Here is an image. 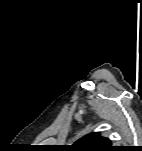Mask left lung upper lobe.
Here are the masks:
<instances>
[{
	"mask_svg": "<svg viewBox=\"0 0 142 151\" xmlns=\"http://www.w3.org/2000/svg\"><path fill=\"white\" fill-rule=\"evenodd\" d=\"M70 149L72 151H116L118 148L112 146L108 138L101 137L99 132H93L80 138Z\"/></svg>",
	"mask_w": 142,
	"mask_h": 151,
	"instance_id": "1",
	"label": "left lung upper lobe"
}]
</instances>
